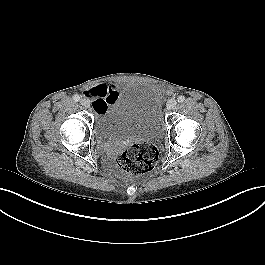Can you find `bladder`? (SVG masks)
<instances>
[{
	"instance_id": "31cf9c89",
	"label": "bladder",
	"mask_w": 265,
	"mask_h": 265,
	"mask_svg": "<svg viewBox=\"0 0 265 265\" xmlns=\"http://www.w3.org/2000/svg\"><path fill=\"white\" fill-rule=\"evenodd\" d=\"M160 93L148 82H133L101 113L95 131L102 141L119 138H157L163 133Z\"/></svg>"
}]
</instances>
